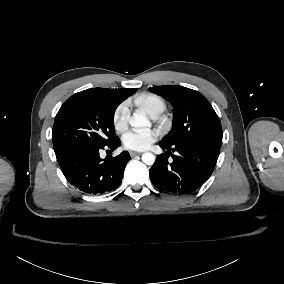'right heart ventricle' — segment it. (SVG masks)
<instances>
[{"instance_id":"e07e8e85","label":"right heart ventricle","mask_w":284,"mask_h":284,"mask_svg":"<svg viewBox=\"0 0 284 284\" xmlns=\"http://www.w3.org/2000/svg\"><path fill=\"white\" fill-rule=\"evenodd\" d=\"M142 106L153 117L159 116L166 109L165 100L154 93H146L141 97Z\"/></svg>"}]
</instances>
